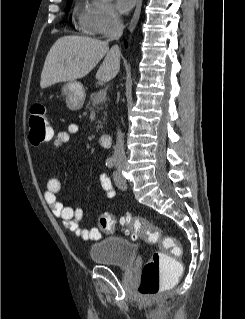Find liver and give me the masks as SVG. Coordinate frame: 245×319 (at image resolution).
Here are the masks:
<instances>
[{"instance_id": "obj_1", "label": "liver", "mask_w": 245, "mask_h": 319, "mask_svg": "<svg viewBox=\"0 0 245 319\" xmlns=\"http://www.w3.org/2000/svg\"><path fill=\"white\" fill-rule=\"evenodd\" d=\"M96 73L100 81L112 80L120 70V56L109 49L108 41L69 35L59 38L48 52L41 73L40 87L70 82L86 76L103 58Z\"/></svg>"}]
</instances>
